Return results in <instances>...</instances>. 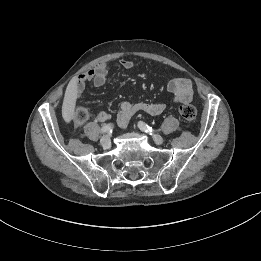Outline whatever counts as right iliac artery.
Masks as SVG:
<instances>
[{"label":"right iliac artery","instance_id":"82829eb1","mask_svg":"<svg viewBox=\"0 0 261 261\" xmlns=\"http://www.w3.org/2000/svg\"><path fill=\"white\" fill-rule=\"evenodd\" d=\"M112 130V125L111 124H105L102 128H101V133H107L109 131Z\"/></svg>","mask_w":261,"mask_h":261}]
</instances>
